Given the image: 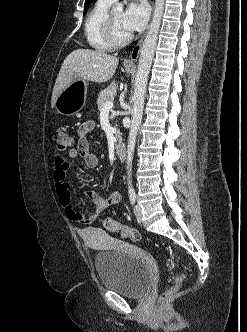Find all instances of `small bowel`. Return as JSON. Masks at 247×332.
I'll list each match as a JSON object with an SVG mask.
<instances>
[{
	"label": "small bowel",
	"mask_w": 247,
	"mask_h": 332,
	"mask_svg": "<svg viewBox=\"0 0 247 332\" xmlns=\"http://www.w3.org/2000/svg\"><path fill=\"white\" fill-rule=\"evenodd\" d=\"M94 122L89 120L80 125L78 129L79 142L77 147L71 148L67 153V158L58 156L55 159L53 179L55 189L61 206L63 207L67 218L75 223L91 225L96 218L111 206L117 205L121 200L120 192L113 190L105 200H96L95 210L90 215H85L77 211L72 203L70 186L66 181V175L70 168L69 160L81 157L88 168H95L98 159L90 150L88 135L94 129ZM85 195L90 199H95L92 192H86Z\"/></svg>",
	"instance_id": "obj_1"
}]
</instances>
